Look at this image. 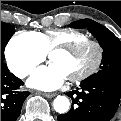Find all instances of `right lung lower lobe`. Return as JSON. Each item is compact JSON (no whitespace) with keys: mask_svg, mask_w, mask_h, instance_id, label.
I'll return each mask as SVG.
<instances>
[{"mask_svg":"<svg viewBox=\"0 0 121 121\" xmlns=\"http://www.w3.org/2000/svg\"><path fill=\"white\" fill-rule=\"evenodd\" d=\"M23 82L1 62V121H16L28 91H18Z\"/></svg>","mask_w":121,"mask_h":121,"instance_id":"1","label":"right lung lower lobe"}]
</instances>
